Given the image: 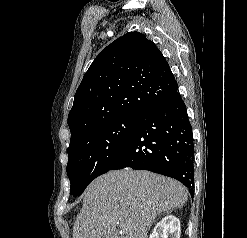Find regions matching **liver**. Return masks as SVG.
<instances>
[{
    "label": "liver",
    "mask_w": 247,
    "mask_h": 238,
    "mask_svg": "<svg viewBox=\"0 0 247 238\" xmlns=\"http://www.w3.org/2000/svg\"><path fill=\"white\" fill-rule=\"evenodd\" d=\"M187 198L174 179L130 168L110 171L85 190L73 238H147L155 218L183 207Z\"/></svg>",
    "instance_id": "liver-1"
}]
</instances>
